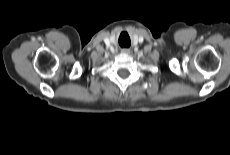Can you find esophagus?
<instances>
[{
	"label": "esophagus",
	"mask_w": 230,
	"mask_h": 155,
	"mask_svg": "<svg viewBox=\"0 0 230 155\" xmlns=\"http://www.w3.org/2000/svg\"><path fill=\"white\" fill-rule=\"evenodd\" d=\"M122 53H124V54H129V53H130V49H128V48H123V49H122Z\"/></svg>",
	"instance_id": "1"
}]
</instances>
